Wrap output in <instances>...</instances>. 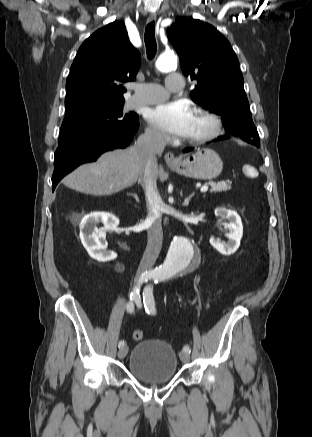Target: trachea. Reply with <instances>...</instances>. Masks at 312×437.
<instances>
[{
	"label": "trachea",
	"mask_w": 312,
	"mask_h": 437,
	"mask_svg": "<svg viewBox=\"0 0 312 437\" xmlns=\"http://www.w3.org/2000/svg\"><path fill=\"white\" fill-rule=\"evenodd\" d=\"M154 28H155V23L153 21L146 26V30L144 34V41L146 45L148 59H153L157 51Z\"/></svg>",
	"instance_id": "3493384b"
}]
</instances>
